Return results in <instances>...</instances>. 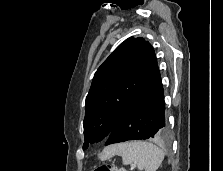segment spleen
Wrapping results in <instances>:
<instances>
[{
	"instance_id": "3e777b00",
	"label": "spleen",
	"mask_w": 223,
	"mask_h": 171,
	"mask_svg": "<svg viewBox=\"0 0 223 171\" xmlns=\"http://www.w3.org/2000/svg\"><path fill=\"white\" fill-rule=\"evenodd\" d=\"M117 154L124 165L135 163L141 171H156L164 159V152L158 146L143 141L119 144Z\"/></svg>"
}]
</instances>
